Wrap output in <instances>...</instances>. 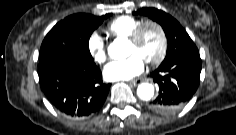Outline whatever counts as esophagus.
<instances>
[{"instance_id": "1", "label": "esophagus", "mask_w": 236, "mask_h": 135, "mask_svg": "<svg viewBox=\"0 0 236 135\" xmlns=\"http://www.w3.org/2000/svg\"><path fill=\"white\" fill-rule=\"evenodd\" d=\"M141 82H142L141 79H136V80H131V81H129V83H130L131 85H133V86H136V85H138V84L141 83Z\"/></svg>"}]
</instances>
